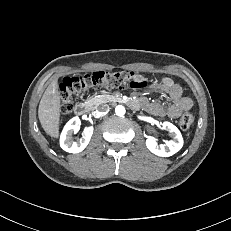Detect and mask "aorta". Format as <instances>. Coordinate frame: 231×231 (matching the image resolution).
Segmentation results:
<instances>
[{"label": "aorta", "instance_id": "obj_1", "mask_svg": "<svg viewBox=\"0 0 231 231\" xmlns=\"http://www.w3.org/2000/svg\"><path fill=\"white\" fill-rule=\"evenodd\" d=\"M125 112H126V110H125L124 106H122V105L116 106V108H115L116 115L123 116L125 114Z\"/></svg>", "mask_w": 231, "mask_h": 231}]
</instances>
